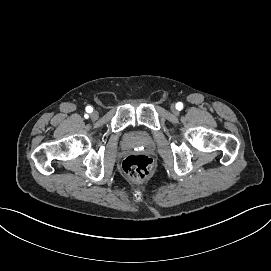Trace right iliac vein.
I'll return each instance as SVG.
<instances>
[{
	"label": "right iliac vein",
	"mask_w": 271,
	"mask_h": 271,
	"mask_svg": "<svg viewBox=\"0 0 271 271\" xmlns=\"http://www.w3.org/2000/svg\"><path fill=\"white\" fill-rule=\"evenodd\" d=\"M90 117L92 120H97L98 117H99V114L96 110L92 111L91 114H90Z\"/></svg>",
	"instance_id": "1"
}]
</instances>
